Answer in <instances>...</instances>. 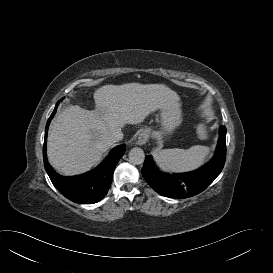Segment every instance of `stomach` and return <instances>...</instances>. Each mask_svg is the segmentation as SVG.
Instances as JSON below:
<instances>
[{"instance_id": "0dacf381", "label": "stomach", "mask_w": 273, "mask_h": 273, "mask_svg": "<svg viewBox=\"0 0 273 273\" xmlns=\"http://www.w3.org/2000/svg\"><path fill=\"white\" fill-rule=\"evenodd\" d=\"M158 121L161 124L160 131H152L156 137H162L166 133H172L181 123L182 116L179 107H163L159 109L157 114Z\"/></svg>"}]
</instances>
